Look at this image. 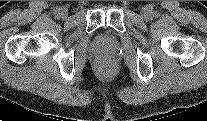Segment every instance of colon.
<instances>
[{
    "label": "colon",
    "mask_w": 207,
    "mask_h": 121,
    "mask_svg": "<svg viewBox=\"0 0 207 121\" xmlns=\"http://www.w3.org/2000/svg\"><path fill=\"white\" fill-rule=\"evenodd\" d=\"M116 63L110 54H102L96 60V67L100 73L107 74L115 69Z\"/></svg>",
    "instance_id": "colon-1"
}]
</instances>
